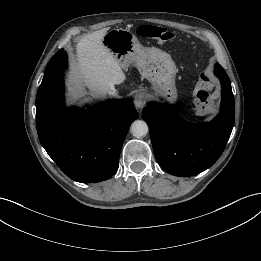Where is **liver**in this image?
<instances>
[{
	"label": "liver",
	"instance_id": "obj_1",
	"mask_svg": "<svg viewBox=\"0 0 261 261\" xmlns=\"http://www.w3.org/2000/svg\"><path fill=\"white\" fill-rule=\"evenodd\" d=\"M106 33L107 29L98 30L78 42L76 63L69 76L72 93H80L88 87L94 98L101 97L125 81L120 64L102 43Z\"/></svg>",
	"mask_w": 261,
	"mask_h": 261
}]
</instances>
